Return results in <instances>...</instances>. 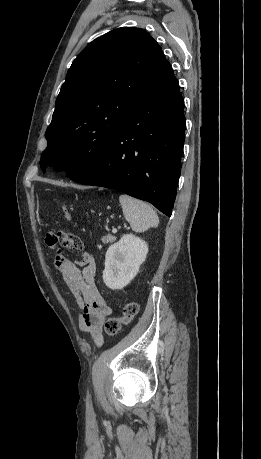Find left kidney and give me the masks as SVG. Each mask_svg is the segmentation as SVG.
I'll return each instance as SVG.
<instances>
[{
	"instance_id": "left-kidney-1",
	"label": "left kidney",
	"mask_w": 261,
	"mask_h": 459,
	"mask_svg": "<svg viewBox=\"0 0 261 459\" xmlns=\"http://www.w3.org/2000/svg\"><path fill=\"white\" fill-rule=\"evenodd\" d=\"M148 245L141 238L126 234L111 245L105 255L103 281L112 290L123 289L137 275L145 261Z\"/></svg>"
}]
</instances>
